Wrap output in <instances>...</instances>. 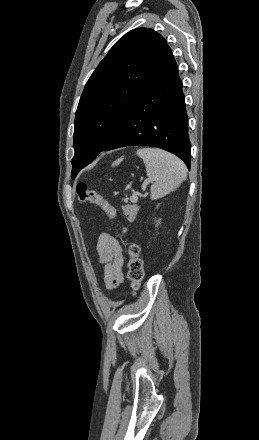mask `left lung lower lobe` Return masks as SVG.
Returning a JSON list of instances; mask_svg holds the SVG:
<instances>
[{
  "instance_id": "left-lung-lower-lobe-1",
  "label": "left lung lower lobe",
  "mask_w": 259,
  "mask_h": 440,
  "mask_svg": "<svg viewBox=\"0 0 259 440\" xmlns=\"http://www.w3.org/2000/svg\"><path fill=\"white\" fill-rule=\"evenodd\" d=\"M124 146H152L178 156L190 169L191 144L182 81L166 44L141 95L111 143L102 151Z\"/></svg>"
}]
</instances>
